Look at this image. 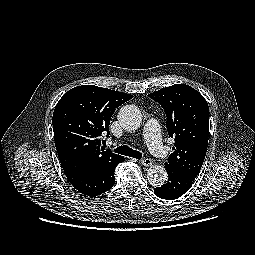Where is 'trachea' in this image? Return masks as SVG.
<instances>
[{
    "mask_svg": "<svg viewBox=\"0 0 255 255\" xmlns=\"http://www.w3.org/2000/svg\"><path fill=\"white\" fill-rule=\"evenodd\" d=\"M116 153L124 155V156H129L135 159H141L142 158V154L137 151V150H133L132 148L123 145V146H119L114 150Z\"/></svg>",
    "mask_w": 255,
    "mask_h": 255,
    "instance_id": "1",
    "label": "trachea"
}]
</instances>
